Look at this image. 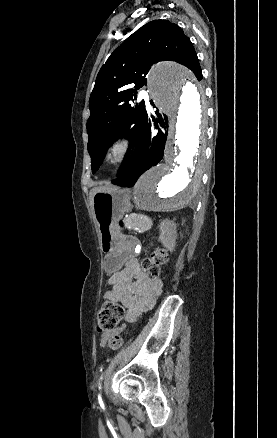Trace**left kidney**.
<instances>
[{
  "instance_id": "obj_1",
  "label": "left kidney",
  "mask_w": 277,
  "mask_h": 438,
  "mask_svg": "<svg viewBox=\"0 0 277 438\" xmlns=\"http://www.w3.org/2000/svg\"><path fill=\"white\" fill-rule=\"evenodd\" d=\"M160 238L159 242L163 244L164 248H167L169 252H174L176 244V224L171 220H163L160 226Z\"/></svg>"
}]
</instances>
